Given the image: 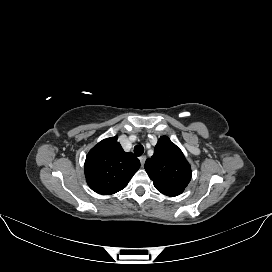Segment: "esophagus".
<instances>
[{
	"label": "esophagus",
	"instance_id": "1",
	"mask_svg": "<svg viewBox=\"0 0 272 272\" xmlns=\"http://www.w3.org/2000/svg\"><path fill=\"white\" fill-rule=\"evenodd\" d=\"M139 160H140L141 166L143 167L144 164H145V161H146V156H141V157L139 158Z\"/></svg>",
	"mask_w": 272,
	"mask_h": 272
}]
</instances>
